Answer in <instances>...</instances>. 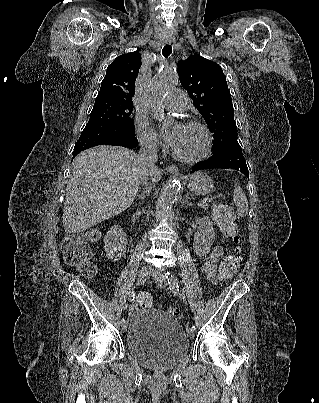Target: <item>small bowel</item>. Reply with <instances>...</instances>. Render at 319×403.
Segmentation results:
<instances>
[{
	"label": "small bowel",
	"mask_w": 319,
	"mask_h": 403,
	"mask_svg": "<svg viewBox=\"0 0 319 403\" xmlns=\"http://www.w3.org/2000/svg\"><path fill=\"white\" fill-rule=\"evenodd\" d=\"M224 251L223 245L215 246L201 266L202 272L206 275L210 283H216L218 278H229L233 276L224 277L221 273L217 275L219 260L223 256Z\"/></svg>",
	"instance_id": "c3829d8e"
}]
</instances>
